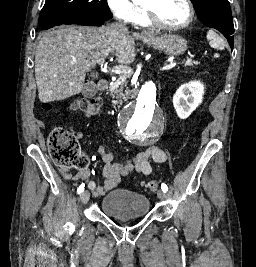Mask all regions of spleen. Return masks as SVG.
I'll list each match as a JSON object with an SVG mask.
<instances>
[{
	"label": "spleen",
	"mask_w": 256,
	"mask_h": 267,
	"mask_svg": "<svg viewBox=\"0 0 256 267\" xmlns=\"http://www.w3.org/2000/svg\"><path fill=\"white\" fill-rule=\"evenodd\" d=\"M206 38L209 40V46H211V48H224L222 38H220L216 32H213V30H209V32H207Z\"/></svg>",
	"instance_id": "spleen-1"
}]
</instances>
